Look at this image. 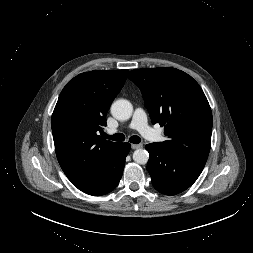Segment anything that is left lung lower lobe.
I'll return each mask as SVG.
<instances>
[{
	"label": "left lung lower lobe",
	"instance_id": "obj_1",
	"mask_svg": "<svg viewBox=\"0 0 253 253\" xmlns=\"http://www.w3.org/2000/svg\"><path fill=\"white\" fill-rule=\"evenodd\" d=\"M149 152L147 170L154 188L165 195H176L189 188L201 174L203 167L169 154L158 143L146 145Z\"/></svg>",
	"mask_w": 253,
	"mask_h": 253
}]
</instances>
